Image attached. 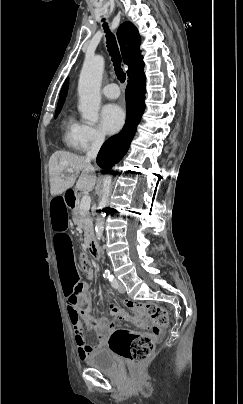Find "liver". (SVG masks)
<instances>
[{"label": "liver", "mask_w": 243, "mask_h": 404, "mask_svg": "<svg viewBox=\"0 0 243 404\" xmlns=\"http://www.w3.org/2000/svg\"><path fill=\"white\" fill-rule=\"evenodd\" d=\"M73 170L67 176H63V172ZM82 174L76 184L77 190L80 192H92L94 190L96 176H92L94 172L90 160H86L83 156H76L70 152H55L49 160V176H50V194L51 196H60L75 184V180Z\"/></svg>", "instance_id": "liver-1"}]
</instances>
